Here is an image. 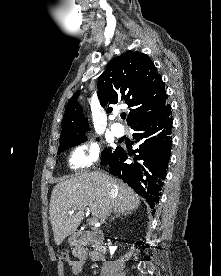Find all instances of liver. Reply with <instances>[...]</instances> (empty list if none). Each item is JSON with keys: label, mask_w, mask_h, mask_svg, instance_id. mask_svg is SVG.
<instances>
[{"label": "liver", "mask_w": 221, "mask_h": 276, "mask_svg": "<svg viewBox=\"0 0 221 276\" xmlns=\"http://www.w3.org/2000/svg\"><path fill=\"white\" fill-rule=\"evenodd\" d=\"M140 197L125 183L101 171L84 172L59 182L50 200V221L56 245L75 233L84 210L103 221L110 207L115 213L137 209ZM74 209L75 212L70 213Z\"/></svg>", "instance_id": "obj_1"}]
</instances>
